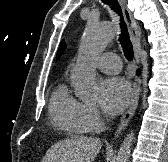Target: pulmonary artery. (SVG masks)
Segmentation results:
<instances>
[{
    "mask_svg": "<svg viewBox=\"0 0 168 162\" xmlns=\"http://www.w3.org/2000/svg\"><path fill=\"white\" fill-rule=\"evenodd\" d=\"M98 68L107 74H116L121 70L119 56L112 52H106L97 59Z\"/></svg>",
    "mask_w": 168,
    "mask_h": 162,
    "instance_id": "1",
    "label": "pulmonary artery"
}]
</instances>
